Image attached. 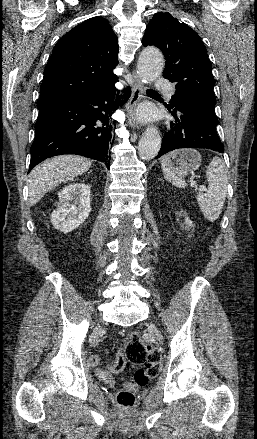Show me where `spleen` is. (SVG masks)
<instances>
[{"mask_svg": "<svg viewBox=\"0 0 257 439\" xmlns=\"http://www.w3.org/2000/svg\"><path fill=\"white\" fill-rule=\"evenodd\" d=\"M169 155L164 157L161 162L164 177L175 187L185 188L186 182L176 176L168 167ZM208 189L206 193L197 195L198 206L204 217L214 222L220 216L227 195V170L225 163L218 157H214L206 170Z\"/></svg>", "mask_w": 257, "mask_h": 439, "instance_id": "1", "label": "spleen"}]
</instances>
